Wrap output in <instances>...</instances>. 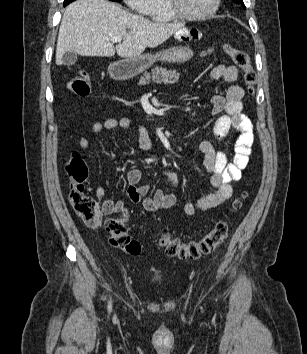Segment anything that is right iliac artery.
Returning a JSON list of instances; mask_svg holds the SVG:
<instances>
[{
  "label": "right iliac artery",
  "mask_w": 307,
  "mask_h": 354,
  "mask_svg": "<svg viewBox=\"0 0 307 354\" xmlns=\"http://www.w3.org/2000/svg\"><path fill=\"white\" fill-rule=\"evenodd\" d=\"M111 308H112V306H111V301H109V304H108V310L110 311V310H111Z\"/></svg>",
  "instance_id": "right-iliac-artery-1"
}]
</instances>
